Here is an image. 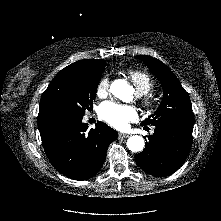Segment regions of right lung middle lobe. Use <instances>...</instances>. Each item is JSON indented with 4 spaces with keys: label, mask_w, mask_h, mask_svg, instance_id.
Instances as JSON below:
<instances>
[{
    "label": "right lung middle lobe",
    "mask_w": 221,
    "mask_h": 221,
    "mask_svg": "<svg viewBox=\"0 0 221 221\" xmlns=\"http://www.w3.org/2000/svg\"><path fill=\"white\" fill-rule=\"evenodd\" d=\"M101 75L79 67H65L43 92L40 106L60 121L83 117L96 97Z\"/></svg>",
    "instance_id": "obj_1"
}]
</instances>
